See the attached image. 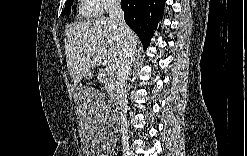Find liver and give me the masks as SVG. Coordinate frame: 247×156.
<instances>
[{
    "label": "liver",
    "mask_w": 247,
    "mask_h": 156,
    "mask_svg": "<svg viewBox=\"0 0 247 156\" xmlns=\"http://www.w3.org/2000/svg\"><path fill=\"white\" fill-rule=\"evenodd\" d=\"M135 44L138 37L131 31ZM67 67L75 84L94 67L104 62L118 68L123 54V39L110 18L99 17L70 26L64 38Z\"/></svg>",
    "instance_id": "1"
}]
</instances>
